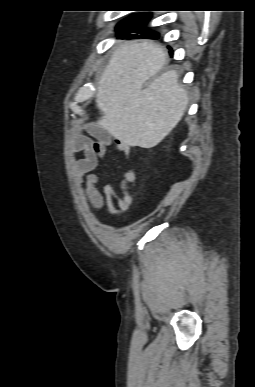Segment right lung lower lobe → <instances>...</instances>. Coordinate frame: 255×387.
Instances as JSON below:
<instances>
[{"instance_id": "1", "label": "right lung lower lobe", "mask_w": 255, "mask_h": 387, "mask_svg": "<svg viewBox=\"0 0 255 387\" xmlns=\"http://www.w3.org/2000/svg\"><path fill=\"white\" fill-rule=\"evenodd\" d=\"M150 33H153V35H150ZM122 36H124V37H129V38H134V37H136V38H152V39H156V38H158V35H154V32H152V31H150V32H148V33H144L143 35H141V36H134V35H130V34H124V35H122Z\"/></svg>"}]
</instances>
